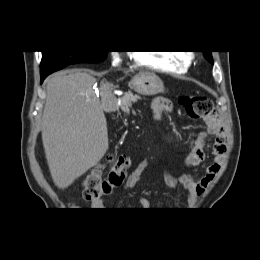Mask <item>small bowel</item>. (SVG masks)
I'll return each mask as SVG.
<instances>
[{"label": "small bowel", "mask_w": 260, "mask_h": 260, "mask_svg": "<svg viewBox=\"0 0 260 260\" xmlns=\"http://www.w3.org/2000/svg\"><path fill=\"white\" fill-rule=\"evenodd\" d=\"M173 105L170 99L165 97H156L151 103L152 115L155 121H160L165 113L171 112ZM206 130L199 133L198 136L192 139L188 146V153L185 157L184 163L187 166H197L204 162L208 155L205 152V142L208 135L215 137L211 152L210 163L206 166L204 172L198 176L189 173L180 175L172 174L168 168L164 167V179L168 187L174 188L181 185L188 193L191 202H194L202 195L205 188L214 179L219 171L226 152V135L221 119L217 116L206 117ZM152 161L144 159L133 167L128 174L127 179L123 185L124 190L132 189L136 186L142 173L152 165ZM138 205L143 210H149L151 203L146 198H140ZM93 210H104L106 208L102 200H94L91 203Z\"/></svg>", "instance_id": "obj_1"}]
</instances>
